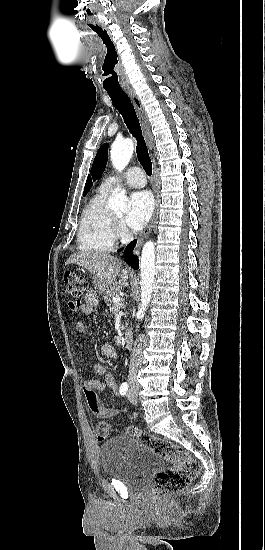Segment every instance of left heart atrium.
Listing matches in <instances>:
<instances>
[{"label": "left heart atrium", "mask_w": 265, "mask_h": 550, "mask_svg": "<svg viewBox=\"0 0 265 550\" xmlns=\"http://www.w3.org/2000/svg\"><path fill=\"white\" fill-rule=\"evenodd\" d=\"M154 203L152 196L147 191L133 193L130 197V208L125 222L129 229L140 230L150 220Z\"/></svg>", "instance_id": "39dd6f15"}]
</instances>
